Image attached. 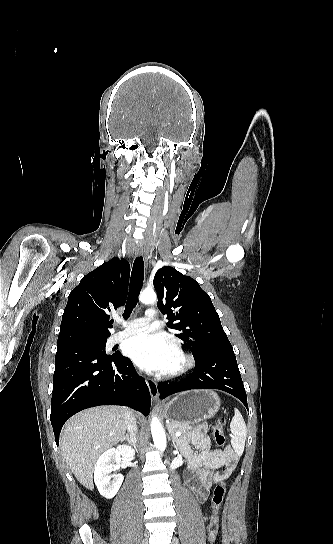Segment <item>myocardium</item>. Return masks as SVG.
<instances>
[{
	"label": "myocardium",
	"mask_w": 333,
	"mask_h": 544,
	"mask_svg": "<svg viewBox=\"0 0 333 544\" xmlns=\"http://www.w3.org/2000/svg\"><path fill=\"white\" fill-rule=\"evenodd\" d=\"M172 351L179 359V364L169 370L162 373V376L167 379H173L188 373L195 365L194 358L188 352H186L179 344L173 343Z\"/></svg>",
	"instance_id": "1"
}]
</instances>
